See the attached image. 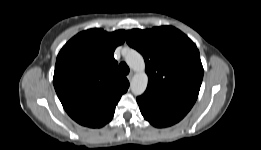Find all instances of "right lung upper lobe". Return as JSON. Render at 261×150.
<instances>
[{"label": "right lung upper lobe", "instance_id": "obj_1", "mask_svg": "<svg viewBox=\"0 0 261 150\" xmlns=\"http://www.w3.org/2000/svg\"><path fill=\"white\" fill-rule=\"evenodd\" d=\"M125 31L90 29L60 50L54 71L56 93L69 116L81 125L100 127L109 120L129 82L118 70L115 48Z\"/></svg>", "mask_w": 261, "mask_h": 150}]
</instances>
